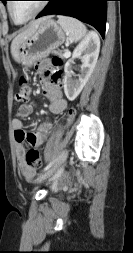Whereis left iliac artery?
<instances>
[{
    "label": "left iliac artery",
    "instance_id": "1",
    "mask_svg": "<svg viewBox=\"0 0 133 253\" xmlns=\"http://www.w3.org/2000/svg\"><path fill=\"white\" fill-rule=\"evenodd\" d=\"M58 159L53 160L52 162H50L45 168L44 171L49 170L56 162Z\"/></svg>",
    "mask_w": 133,
    "mask_h": 253
}]
</instances>
